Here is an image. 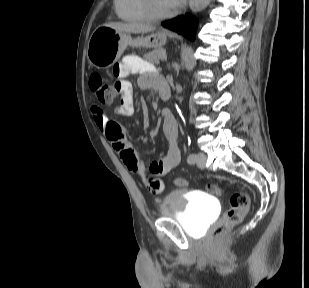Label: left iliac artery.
I'll return each instance as SVG.
<instances>
[{
    "instance_id": "1",
    "label": "left iliac artery",
    "mask_w": 309,
    "mask_h": 288,
    "mask_svg": "<svg viewBox=\"0 0 309 288\" xmlns=\"http://www.w3.org/2000/svg\"><path fill=\"white\" fill-rule=\"evenodd\" d=\"M187 162L189 164H194L196 162V154L192 153L188 156Z\"/></svg>"
}]
</instances>
